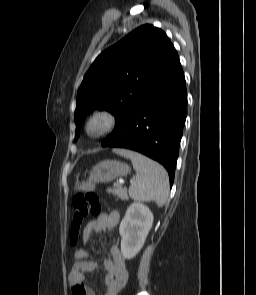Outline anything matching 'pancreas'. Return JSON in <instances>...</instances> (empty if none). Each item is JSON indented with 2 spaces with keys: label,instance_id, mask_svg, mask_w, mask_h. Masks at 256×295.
<instances>
[{
  "label": "pancreas",
  "instance_id": "pancreas-1",
  "mask_svg": "<svg viewBox=\"0 0 256 295\" xmlns=\"http://www.w3.org/2000/svg\"><path fill=\"white\" fill-rule=\"evenodd\" d=\"M111 193L117 197V199H127V191L125 188H122L121 185H116L113 189L110 190Z\"/></svg>",
  "mask_w": 256,
  "mask_h": 295
}]
</instances>
